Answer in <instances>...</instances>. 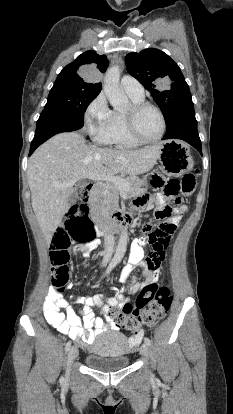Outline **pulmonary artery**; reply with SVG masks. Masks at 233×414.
<instances>
[{
	"label": "pulmonary artery",
	"mask_w": 233,
	"mask_h": 414,
	"mask_svg": "<svg viewBox=\"0 0 233 414\" xmlns=\"http://www.w3.org/2000/svg\"><path fill=\"white\" fill-rule=\"evenodd\" d=\"M121 88L125 93L136 97L144 96V88L142 84L132 76H124L120 82Z\"/></svg>",
	"instance_id": "e3ab8cb5"
}]
</instances>
